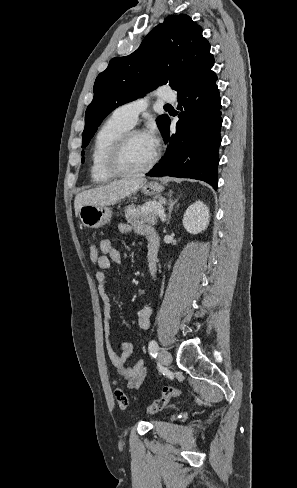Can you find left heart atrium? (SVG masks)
<instances>
[{
	"label": "left heart atrium",
	"instance_id": "obj_1",
	"mask_svg": "<svg viewBox=\"0 0 297 488\" xmlns=\"http://www.w3.org/2000/svg\"><path fill=\"white\" fill-rule=\"evenodd\" d=\"M145 138L150 145L156 150L160 144V137L158 129L155 125H151L149 129L144 133Z\"/></svg>",
	"mask_w": 297,
	"mask_h": 488
}]
</instances>
